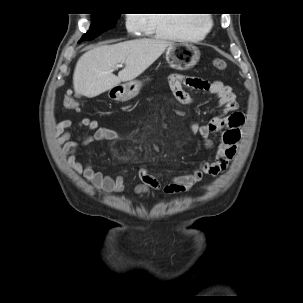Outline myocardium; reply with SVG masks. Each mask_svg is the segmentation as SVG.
I'll list each match as a JSON object with an SVG mask.
<instances>
[{
	"mask_svg": "<svg viewBox=\"0 0 303 303\" xmlns=\"http://www.w3.org/2000/svg\"><path fill=\"white\" fill-rule=\"evenodd\" d=\"M214 22L210 17L198 18V30L201 34L208 33L213 28Z\"/></svg>",
	"mask_w": 303,
	"mask_h": 303,
	"instance_id": "1",
	"label": "myocardium"
}]
</instances>
